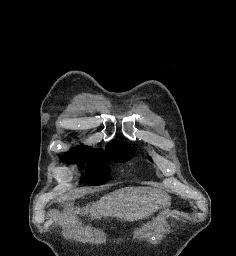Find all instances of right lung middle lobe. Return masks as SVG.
<instances>
[{
  "label": "right lung middle lobe",
  "instance_id": "1",
  "mask_svg": "<svg viewBox=\"0 0 236 256\" xmlns=\"http://www.w3.org/2000/svg\"><path fill=\"white\" fill-rule=\"evenodd\" d=\"M133 156V149L124 142H111L106 150H91L89 147H79L74 152L68 153L63 158L69 163L79 162L84 165L87 162V185H101L105 183L109 175V162L124 163Z\"/></svg>",
  "mask_w": 236,
  "mask_h": 256
}]
</instances>
